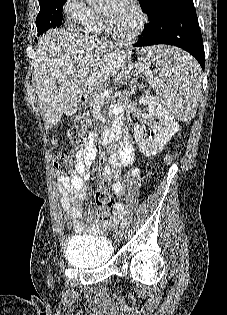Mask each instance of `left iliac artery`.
<instances>
[{
	"mask_svg": "<svg viewBox=\"0 0 227 315\" xmlns=\"http://www.w3.org/2000/svg\"><path fill=\"white\" fill-rule=\"evenodd\" d=\"M126 227V221H123L120 225L121 230H124Z\"/></svg>",
	"mask_w": 227,
	"mask_h": 315,
	"instance_id": "obj_1",
	"label": "left iliac artery"
}]
</instances>
